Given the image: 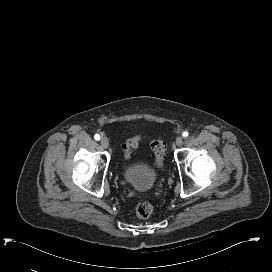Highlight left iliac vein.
Wrapping results in <instances>:
<instances>
[{"instance_id": "left-iliac-vein-1", "label": "left iliac vein", "mask_w": 272, "mask_h": 272, "mask_svg": "<svg viewBox=\"0 0 272 272\" xmlns=\"http://www.w3.org/2000/svg\"><path fill=\"white\" fill-rule=\"evenodd\" d=\"M177 146H181L183 143V138L181 136H178L175 140Z\"/></svg>"}]
</instances>
